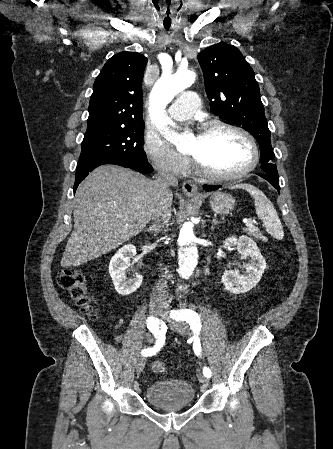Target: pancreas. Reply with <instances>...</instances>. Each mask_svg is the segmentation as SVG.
I'll list each match as a JSON object with an SVG mask.
<instances>
[{
  "instance_id": "1",
  "label": "pancreas",
  "mask_w": 333,
  "mask_h": 449,
  "mask_svg": "<svg viewBox=\"0 0 333 449\" xmlns=\"http://www.w3.org/2000/svg\"><path fill=\"white\" fill-rule=\"evenodd\" d=\"M245 231L252 237L256 238V239H262L263 236L260 232V230L254 226H249L245 229Z\"/></svg>"
}]
</instances>
